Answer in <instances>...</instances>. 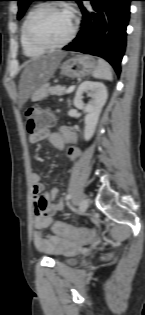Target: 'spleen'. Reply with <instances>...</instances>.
Instances as JSON below:
<instances>
[{
  "instance_id": "spleen-1",
  "label": "spleen",
  "mask_w": 145,
  "mask_h": 315,
  "mask_svg": "<svg viewBox=\"0 0 145 315\" xmlns=\"http://www.w3.org/2000/svg\"><path fill=\"white\" fill-rule=\"evenodd\" d=\"M96 79L113 80L112 68L109 63L103 59H99L96 69L92 72Z\"/></svg>"
}]
</instances>
